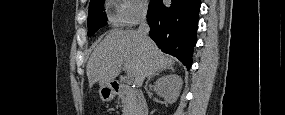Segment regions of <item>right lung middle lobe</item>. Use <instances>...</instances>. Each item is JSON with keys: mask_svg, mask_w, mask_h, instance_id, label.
Masks as SVG:
<instances>
[{"mask_svg": "<svg viewBox=\"0 0 285 115\" xmlns=\"http://www.w3.org/2000/svg\"><path fill=\"white\" fill-rule=\"evenodd\" d=\"M105 0H91L88 15V36L93 35L98 29L105 26L106 13L103 10Z\"/></svg>", "mask_w": 285, "mask_h": 115, "instance_id": "dd1d6c3e", "label": "right lung middle lobe"}]
</instances>
